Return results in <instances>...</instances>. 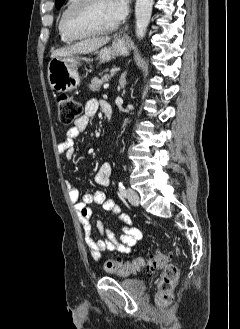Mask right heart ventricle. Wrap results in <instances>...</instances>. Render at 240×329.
<instances>
[{
	"instance_id": "obj_1",
	"label": "right heart ventricle",
	"mask_w": 240,
	"mask_h": 329,
	"mask_svg": "<svg viewBox=\"0 0 240 329\" xmlns=\"http://www.w3.org/2000/svg\"><path fill=\"white\" fill-rule=\"evenodd\" d=\"M75 0H66V3L65 5L63 6L60 14H59V17H58V21H57V29H58V32H59V35H60V38L62 41L64 42H72L74 41L75 39L69 37L63 30V17H64V14L66 12V10L74 3Z\"/></svg>"
}]
</instances>
